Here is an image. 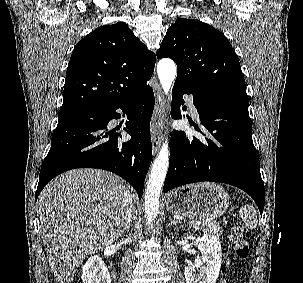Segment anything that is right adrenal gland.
Returning <instances> with one entry per match:
<instances>
[{
	"mask_svg": "<svg viewBox=\"0 0 303 283\" xmlns=\"http://www.w3.org/2000/svg\"><path fill=\"white\" fill-rule=\"evenodd\" d=\"M129 223H130V221H131V219L129 218ZM129 228V225L128 226H126L125 227V229H123V230H120L119 232H118V235H120V234H122L125 230H127Z\"/></svg>",
	"mask_w": 303,
	"mask_h": 283,
	"instance_id": "2a0ac1e0",
	"label": "right adrenal gland"
}]
</instances>
